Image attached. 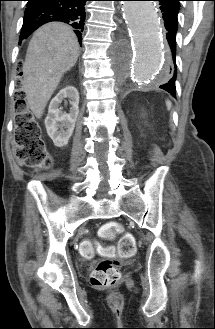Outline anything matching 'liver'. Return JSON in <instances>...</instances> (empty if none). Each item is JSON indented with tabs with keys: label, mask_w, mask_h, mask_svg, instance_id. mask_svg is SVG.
Segmentation results:
<instances>
[{
	"label": "liver",
	"mask_w": 215,
	"mask_h": 329,
	"mask_svg": "<svg viewBox=\"0 0 215 329\" xmlns=\"http://www.w3.org/2000/svg\"><path fill=\"white\" fill-rule=\"evenodd\" d=\"M78 55L77 37L64 23H48L33 34L23 65V89L37 118L42 117L63 74L75 65Z\"/></svg>",
	"instance_id": "6515ba94"
}]
</instances>
